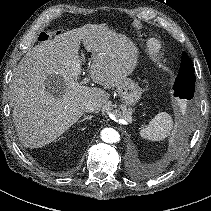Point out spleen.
Segmentation results:
<instances>
[{
	"label": "spleen",
	"mask_w": 211,
	"mask_h": 211,
	"mask_svg": "<svg viewBox=\"0 0 211 211\" xmlns=\"http://www.w3.org/2000/svg\"><path fill=\"white\" fill-rule=\"evenodd\" d=\"M172 128V117L166 112H161L158 113L147 126L141 128L140 135L144 139L161 141L170 134Z\"/></svg>",
	"instance_id": "1"
}]
</instances>
